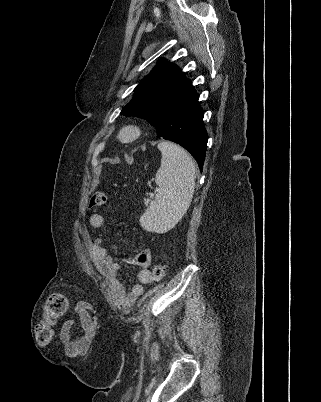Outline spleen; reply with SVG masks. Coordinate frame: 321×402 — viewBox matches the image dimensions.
<instances>
[{
	"mask_svg": "<svg viewBox=\"0 0 321 402\" xmlns=\"http://www.w3.org/2000/svg\"><path fill=\"white\" fill-rule=\"evenodd\" d=\"M158 149L162 159L155 177L157 194L139 221L145 230L162 233L172 228L189 208L196 169L192 158L180 146L162 141Z\"/></svg>",
	"mask_w": 321,
	"mask_h": 402,
	"instance_id": "spleen-1",
	"label": "spleen"
}]
</instances>
